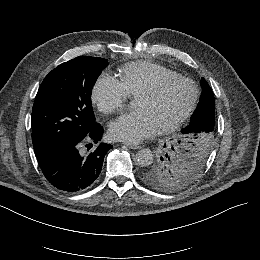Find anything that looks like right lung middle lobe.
Wrapping results in <instances>:
<instances>
[{
	"instance_id": "right-lung-middle-lobe-1",
	"label": "right lung middle lobe",
	"mask_w": 260,
	"mask_h": 260,
	"mask_svg": "<svg viewBox=\"0 0 260 260\" xmlns=\"http://www.w3.org/2000/svg\"><path fill=\"white\" fill-rule=\"evenodd\" d=\"M106 59L79 56L53 69L43 80L32 109L36 156L84 140L94 129L91 92Z\"/></svg>"
}]
</instances>
